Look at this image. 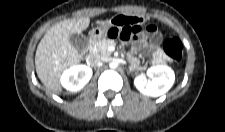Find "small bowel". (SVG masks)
<instances>
[{
  "label": "small bowel",
  "mask_w": 225,
  "mask_h": 132,
  "mask_svg": "<svg viewBox=\"0 0 225 132\" xmlns=\"http://www.w3.org/2000/svg\"><path fill=\"white\" fill-rule=\"evenodd\" d=\"M145 20L137 16H122L119 18L118 26H143ZM147 32L152 35V41L150 44L145 41L138 39L131 48V53L129 54V61L131 65L137 70H143L144 66L142 65L140 59L134 55V53H151L152 55V64L161 65L168 60L167 55L164 50L159 46L160 34L156 31L155 27L148 25L146 27Z\"/></svg>",
  "instance_id": "obj_1"
}]
</instances>
